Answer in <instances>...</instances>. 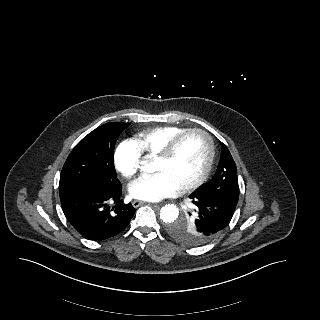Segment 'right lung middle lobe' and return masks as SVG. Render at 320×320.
I'll use <instances>...</instances> for the list:
<instances>
[{"mask_svg":"<svg viewBox=\"0 0 320 320\" xmlns=\"http://www.w3.org/2000/svg\"><path fill=\"white\" fill-rule=\"evenodd\" d=\"M130 124L110 122L86 135L68 156L60 175L59 191L111 189L120 185L114 168V147Z\"/></svg>","mask_w":320,"mask_h":320,"instance_id":"dd1d6c3e","label":"right lung middle lobe"}]
</instances>
